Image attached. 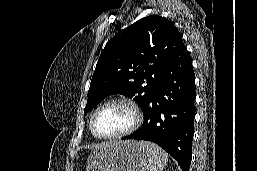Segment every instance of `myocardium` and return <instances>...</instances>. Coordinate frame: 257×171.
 Instances as JSON below:
<instances>
[{
  "label": "myocardium",
  "instance_id": "obj_1",
  "mask_svg": "<svg viewBox=\"0 0 257 171\" xmlns=\"http://www.w3.org/2000/svg\"><path fill=\"white\" fill-rule=\"evenodd\" d=\"M114 104H122V105L127 106L134 115V121L130 127H128L126 130H124L118 134L100 135L96 131V128H95L96 117L101 110H103L104 108H106L110 105H114ZM142 122H143V113H142L141 109L139 108V106L133 100H131L129 98L120 97V98H114V99L104 102L94 111V113L91 116L90 130H91V133L93 134V136H95L96 138L105 139V140H115V139H120V138H123V137H126V136L132 134L141 126Z\"/></svg>",
  "mask_w": 257,
  "mask_h": 171
}]
</instances>
